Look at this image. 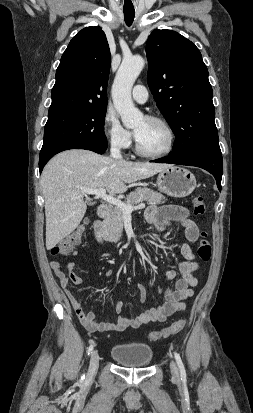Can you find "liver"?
Here are the masks:
<instances>
[{
  "label": "liver",
  "instance_id": "1",
  "mask_svg": "<svg viewBox=\"0 0 253 413\" xmlns=\"http://www.w3.org/2000/svg\"><path fill=\"white\" fill-rule=\"evenodd\" d=\"M170 166L115 160L89 150H67L54 156L40 179L45 200L47 250L80 224L87 210L84 189L122 194L127 191V184L149 178Z\"/></svg>",
  "mask_w": 253,
  "mask_h": 413
}]
</instances>
